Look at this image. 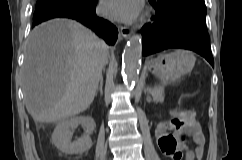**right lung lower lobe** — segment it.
Returning a JSON list of instances; mask_svg holds the SVG:
<instances>
[{
	"label": "right lung lower lobe",
	"instance_id": "right-lung-lower-lobe-1",
	"mask_svg": "<svg viewBox=\"0 0 242 160\" xmlns=\"http://www.w3.org/2000/svg\"><path fill=\"white\" fill-rule=\"evenodd\" d=\"M98 0L85 3L52 2L35 9L32 27L53 18H71L81 22L100 35L108 44L115 43L117 28L109 21L100 18L95 13Z\"/></svg>",
	"mask_w": 242,
	"mask_h": 160
}]
</instances>
